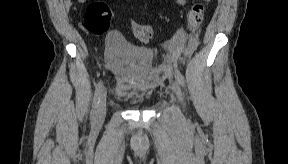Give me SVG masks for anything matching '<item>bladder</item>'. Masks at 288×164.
I'll use <instances>...</instances> for the list:
<instances>
[{
  "instance_id": "31cf9c89",
  "label": "bladder",
  "mask_w": 288,
  "mask_h": 164,
  "mask_svg": "<svg viewBox=\"0 0 288 164\" xmlns=\"http://www.w3.org/2000/svg\"><path fill=\"white\" fill-rule=\"evenodd\" d=\"M105 57L116 78L115 95L130 98L140 92L154 59L153 50L115 39L106 45Z\"/></svg>"
}]
</instances>
